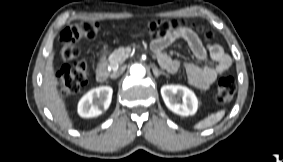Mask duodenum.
<instances>
[{"label": "duodenum", "instance_id": "410a0bca", "mask_svg": "<svg viewBox=\"0 0 283 162\" xmlns=\"http://www.w3.org/2000/svg\"><path fill=\"white\" fill-rule=\"evenodd\" d=\"M109 75L108 68L106 66L105 58L102 57L101 61L96 69V80L98 82H104L107 80Z\"/></svg>", "mask_w": 283, "mask_h": 162}]
</instances>
